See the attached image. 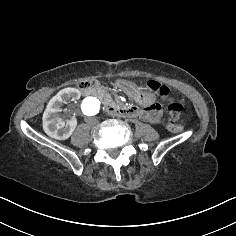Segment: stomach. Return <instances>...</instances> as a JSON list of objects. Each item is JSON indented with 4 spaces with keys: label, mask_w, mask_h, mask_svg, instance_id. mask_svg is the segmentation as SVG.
Segmentation results:
<instances>
[{
    "label": "stomach",
    "mask_w": 236,
    "mask_h": 236,
    "mask_svg": "<svg viewBox=\"0 0 236 236\" xmlns=\"http://www.w3.org/2000/svg\"><path fill=\"white\" fill-rule=\"evenodd\" d=\"M116 87L121 94L140 105H150L155 97L151 90H143L134 79L120 78L116 82Z\"/></svg>",
    "instance_id": "stomach-1"
}]
</instances>
